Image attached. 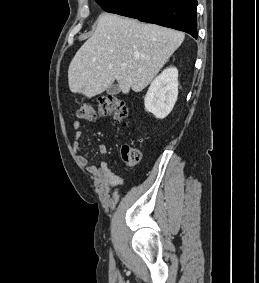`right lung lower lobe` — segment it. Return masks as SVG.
Returning <instances> with one entry per match:
<instances>
[{
	"label": "right lung lower lobe",
	"instance_id": "obj_1",
	"mask_svg": "<svg viewBox=\"0 0 259 283\" xmlns=\"http://www.w3.org/2000/svg\"><path fill=\"white\" fill-rule=\"evenodd\" d=\"M97 3L107 12L184 31L197 39V0H99Z\"/></svg>",
	"mask_w": 259,
	"mask_h": 283
}]
</instances>
